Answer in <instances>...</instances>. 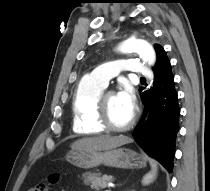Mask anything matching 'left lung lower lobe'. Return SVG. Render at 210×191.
Masks as SVG:
<instances>
[{"instance_id": "obj_1", "label": "left lung lower lobe", "mask_w": 210, "mask_h": 191, "mask_svg": "<svg viewBox=\"0 0 210 191\" xmlns=\"http://www.w3.org/2000/svg\"><path fill=\"white\" fill-rule=\"evenodd\" d=\"M153 70V88L141 94L145 102L144 116L134 129L133 137L149 156L171 173L180 110L170 61L165 51L157 55ZM148 112L150 125L146 128L143 122Z\"/></svg>"}]
</instances>
